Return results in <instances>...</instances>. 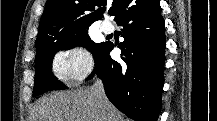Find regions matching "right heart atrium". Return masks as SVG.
I'll use <instances>...</instances> for the list:
<instances>
[{"label": "right heart atrium", "mask_w": 217, "mask_h": 121, "mask_svg": "<svg viewBox=\"0 0 217 121\" xmlns=\"http://www.w3.org/2000/svg\"><path fill=\"white\" fill-rule=\"evenodd\" d=\"M94 60L85 49L73 47L56 55L53 72L62 81L82 80L93 69Z\"/></svg>", "instance_id": "right-heart-atrium-1"}]
</instances>
